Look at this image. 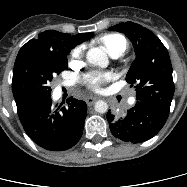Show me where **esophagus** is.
<instances>
[{
    "label": "esophagus",
    "instance_id": "34e87169",
    "mask_svg": "<svg viewBox=\"0 0 187 187\" xmlns=\"http://www.w3.org/2000/svg\"><path fill=\"white\" fill-rule=\"evenodd\" d=\"M97 100V98L96 97H88V98H86V103H87V105L88 106H91V105H93L94 104V102Z\"/></svg>",
    "mask_w": 187,
    "mask_h": 187
}]
</instances>
